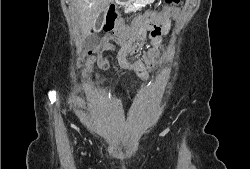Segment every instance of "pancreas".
Returning <instances> with one entry per match:
<instances>
[{
    "instance_id": "cf45deb5",
    "label": "pancreas",
    "mask_w": 250,
    "mask_h": 169,
    "mask_svg": "<svg viewBox=\"0 0 250 169\" xmlns=\"http://www.w3.org/2000/svg\"><path fill=\"white\" fill-rule=\"evenodd\" d=\"M130 2H131V0H128V2H126V4H130ZM131 8H132V6H131Z\"/></svg>"
}]
</instances>
